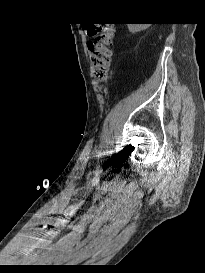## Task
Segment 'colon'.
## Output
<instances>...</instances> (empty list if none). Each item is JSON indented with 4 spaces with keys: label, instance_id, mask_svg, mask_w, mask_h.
Here are the masks:
<instances>
[{
    "label": "colon",
    "instance_id": "1",
    "mask_svg": "<svg viewBox=\"0 0 205 273\" xmlns=\"http://www.w3.org/2000/svg\"><path fill=\"white\" fill-rule=\"evenodd\" d=\"M89 32L95 36V39L88 43L93 75L98 81H106L110 75L114 24L107 22L93 25L90 26Z\"/></svg>",
    "mask_w": 205,
    "mask_h": 273
}]
</instances>
